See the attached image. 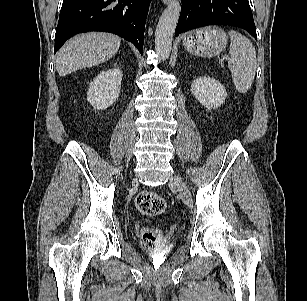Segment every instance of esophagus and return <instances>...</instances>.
I'll return each instance as SVG.
<instances>
[{
	"label": "esophagus",
	"mask_w": 307,
	"mask_h": 301,
	"mask_svg": "<svg viewBox=\"0 0 307 301\" xmlns=\"http://www.w3.org/2000/svg\"><path fill=\"white\" fill-rule=\"evenodd\" d=\"M164 4H168L170 0H162Z\"/></svg>",
	"instance_id": "obj_1"
}]
</instances>
